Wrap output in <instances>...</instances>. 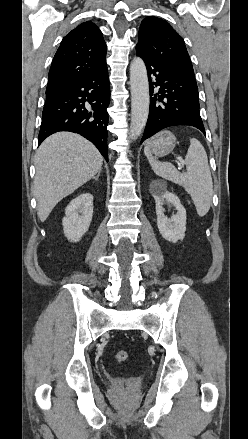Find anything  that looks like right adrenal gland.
Masks as SVG:
<instances>
[{"label": "right adrenal gland", "instance_id": "1", "mask_svg": "<svg viewBox=\"0 0 248 439\" xmlns=\"http://www.w3.org/2000/svg\"><path fill=\"white\" fill-rule=\"evenodd\" d=\"M100 173H101V171H99L98 173H97V175L93 178L94 180H98V178H99V176H100Z\"/></svg>", "mask_w": 248, "mask_h": 439}]
</instances>
